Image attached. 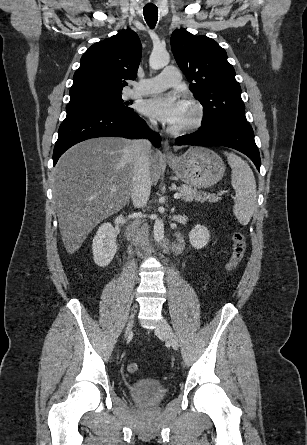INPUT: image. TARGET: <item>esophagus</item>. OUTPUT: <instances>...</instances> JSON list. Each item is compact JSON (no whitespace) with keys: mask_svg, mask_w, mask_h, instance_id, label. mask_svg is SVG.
<instances>
[{"mask_svg":"<svg viewBox=\"0 0 307 445\" xmlns=\"http://www.w3.org/2000/svg\"><path fill=\"white\" fill-rule=\"evenodd\" d=\"M163 154L167 158H174V155L171 151L170 145L167 140H165L164 145H163Z\"/></svg>","mask_w":307,"mask_h":445,"instance_id":"esophagus-1","label":"esophagus"}]
</instances>
